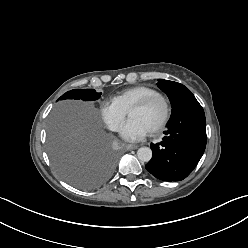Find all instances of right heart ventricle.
I'll list each match as a JSON object with an SVG mask.
<instances>
[{"label":"right heart ventricle","instance_id":"right-heart-ventricle-1","mask_svg":"<svg viewBox=\"0 0 248 248\" xmlns=\"http://www.w3.org/2000/svg\"><path fill=\"white\" fill-rule=\"evenodd\" d=\"M155 93L158 92L154 88L139 85L122 90L114 95L112 100L127 112L133 104Z\"/></svg>","mask_w":248,"mask_h":248}]
</instances>
